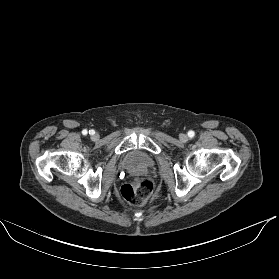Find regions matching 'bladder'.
<instances>
[{
    "label": "bladder",
    "mask_w": 279,
    "mask_h": 279,
    "mask_svg": "<svg viewBox=\"0 0 279 279\" xmlns=\"http://www.w3.org/2000/svg\"><path fill=\"white\" fill-rule=\"evenodd\" d=\"M124 166L129 170H146L153 165V159L141 150H132L124 157Z\"/></svg>",
    "instance_id": "31cf9c89"
}]
</instances>
